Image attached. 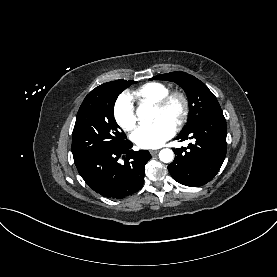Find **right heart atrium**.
I'll use <instances>...</instances> for the list:
<instances>
[{
	"label": "right heart atrium",
	"instance_id": "right-heart-atrium-1",
	"mask_svg": "<svg viewBox=\"0 0 277 277\" xmlns=\"http://www.w3.org/2000/svg\"><path fill=\"white\" fill-rule=\"evenodd\" d=\"M113 115L117 124L124 130L130 131L137 122L135 107L128 94H121L114 103Z\"/></svg>",
	"mask_w": 277,
	"mask_h": 277
}]
</instances>
